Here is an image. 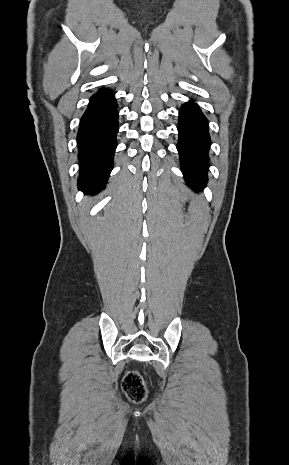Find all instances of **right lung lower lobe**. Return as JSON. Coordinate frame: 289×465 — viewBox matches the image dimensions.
Returning a JSON list of instances; mask_svg holds the SVG:
<instances>
[{
	"label": "right lung lower lobe",
	"instance_id": "1",
	"mask_svg": "<svg viewBox=\"0 0 289 465\" xmlns=\"http://www.w3.org/2000/svg\"><path fill=\"white\" fill-rule=\"evenodd\" d=\"M118 111L114 94L100 89L90 99L77 134L79 190L95 194L104 188L112 170L116 149Z\"/></svg>",
	"mask_w": 289,
	"mask_h": 465
}]
</instances>
